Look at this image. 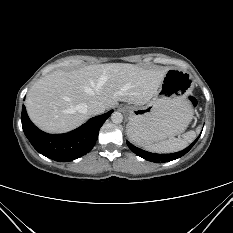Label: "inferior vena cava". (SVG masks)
I'll use <instances>...</instances> for the list:
<instances>
[{"instance_id":"1","label":"inferior vena cava","mask_w":233,"mask_h":233,"mask_svg":"<svg viewBox=\"0 0 233 233\" xmlns=\"http://www.w3.org/2000/svg\"><path fill=\"white\" fill-rule=\"evenodd\" d=\"M105 106L103 103L98 102V101H93L88 105V112L91 115H99L104 113L105 111Z\"/></svg>"}]
</instances>
